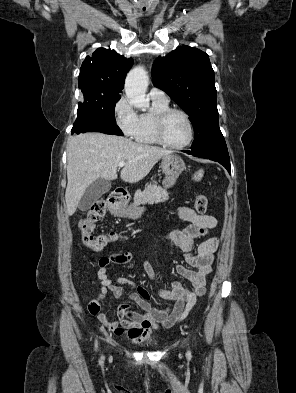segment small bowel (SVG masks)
I'll return each mask as SVG.
<instances>
[{"mask_svg": "<svg viewBox=\"0 0 296 393\" xmlns=\"http://www.w3.org/2000/svg\"><path fill=\"white\" fill-rule=\"evenodd\" d=\"M178 217L189 223L183 230H172L165 234L161 242H170L184 253L185 263L194 268L178 264L176 272L188 279L191 288L184 286L180 281H174L170 288L157 289L159 295L173 304L163 309L153 307L151 303L152 295L148 289L139 285L136 286L131 280L125 277L111 279L108 273L110 264H129L134 254L129 251H122L103 256L98 261V278L100 289L98 295L88 302L90 314L96 316L103 326L115 335H125L135 343L147 340L154 330L159 328H171L180 323L195 305L197 298L206 292V276L212 270L214 253L218 248L219 239L215 236L208 238L197 247L196 253H191L194 240L208 234L210 230L217 226L215 217L206 214H199L187 206L177 208ZM145 269L149 278H153L154 271L150 262L146 261ZM126 291H131L127 295V301L116 305L117 319L109 318L101 311V302L108 294L116 299L122 297ZM136 304L141 312L132 311L130 304Z\"/></svg>", "mask_w": 296, "mask_h": 393, "instance_id": "obj_1", "label": "small bowel"}]
</instances>
